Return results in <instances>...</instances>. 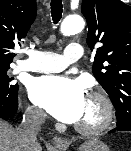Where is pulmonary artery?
<instances>
[{
  "label": "pulmonary artery",
  "mask_w": 131,
  "mask_h": 151,
  "mask_svg": "<svg viewBox=\"0 0 131 151\" xmlns=\"http://www.w3.org/2000/svg\"><path fill=\"white\" fill-rule=\"evenodd\" d=\"M84 53L83 46L77 42L68 44L63 54L48 51H32L29 58L18 63L21 70L43 73H55L64 70L79 60Z\"/></svg>",
  "instance_id": "1"
}]
</instances>
